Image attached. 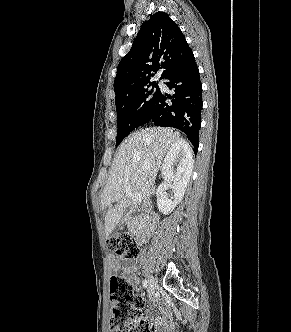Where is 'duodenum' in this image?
<instances>
[{
	"mask_svg": "<svg viewBox=\"0 0 291 332\" xmlns=\"http://www.w3.org/2000/svg\"><path fill=\"white\" fill-rule=\"evenodd\" d=\"M158 223V217L155 214H142L137 228L136 237L139 243L147 242Z\"/></svg>",
	"mask_w": 291,
	"mask_h": 332,
	"instance_id": "duodenum-1",
	"label": "duodenum"
}]
</instances>
